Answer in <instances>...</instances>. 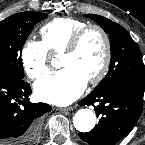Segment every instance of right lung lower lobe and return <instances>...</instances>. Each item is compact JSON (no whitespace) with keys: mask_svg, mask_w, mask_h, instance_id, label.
<instances>
[{"mask_svg":"<svg viewBox=\"0 0 145 145\" xmlns=\"http://www.w3.org/2000/svg\"><path fill=\"white\" fill-rule=\"evenodd\" d=\"M31 87L23 79H0V145H36L38 118L51 106L29 102Z\"/></svg>","mask_w":145,"mask_h":145,"instance_id":"1","label":"right lung lower lobe"}]
</instances>
